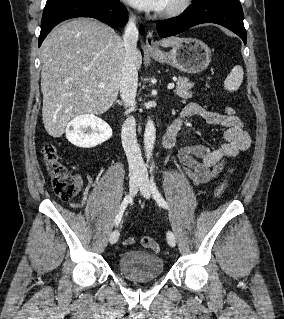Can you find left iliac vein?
Here are the masks:
<instances>
[{
	"label": "left iliac vein",
	"mask_w": 284,
	"mask_h": 319,
	"mask_svg": "<svg viewBox=\"0 0 284 319\" xmlns=\"http://www.w3.org/2000/svg\"><path fill=\"white\" fill-rule=\"evenodd\" d=\"M139 188L141 194L146 198L149 199L151 196V188H150V182L148 179V174L146 169L144 168L140 174V180H139ZM167 242L171 247L176 246V237L172 231H168L166 234Z\"/></svg>",
	"instance_id": "1"
}]
</instances>
